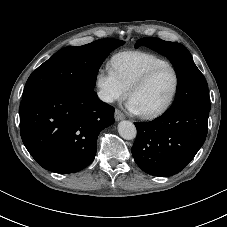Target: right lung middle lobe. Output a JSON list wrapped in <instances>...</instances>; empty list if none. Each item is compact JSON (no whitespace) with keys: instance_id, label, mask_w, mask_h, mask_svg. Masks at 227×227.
<instances>
[{"instance_id":"dd1d6c3e","label":"right lung middle lobe","mask_w":227,"mask_h":227,"mask_svg":"<svg viewBox=\"0 0 227 227\" xmlns=\"http://www.w3.org/2000/svg\"><path fill=\"white\" fill-rule=\"evenodd\" d=\"M124 43L117 39H101L83 46L62 48L30 75L23 98L52 89L93 91L102 62Z\"/></svg>"}]
</instances>
